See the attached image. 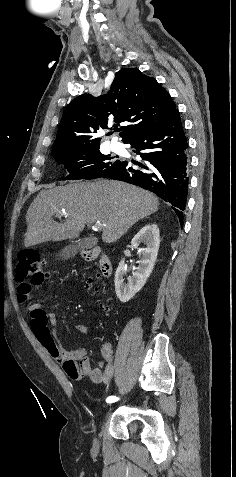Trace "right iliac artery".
I'll return each instance as SVG.
<instances>
[{"label": "right iliac artery", "mask_w": 236, "mask_h": 477, "mask_svg": "<svg viewBox=\"0 0 236 477\" xmlns=\"http://www.w3.org/2000/svg\"><path fill=\"white\" fill-rule=\"evenodd\" d=\"M118 400H119V398L116 397V396H109V397H107L106 402H107L109 405H113V404L117 403Z\"/></svg>", "instance_id": "obj_1"}]
</instances>
